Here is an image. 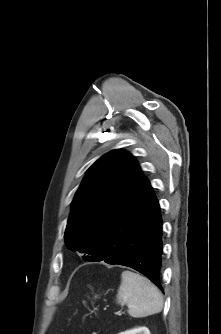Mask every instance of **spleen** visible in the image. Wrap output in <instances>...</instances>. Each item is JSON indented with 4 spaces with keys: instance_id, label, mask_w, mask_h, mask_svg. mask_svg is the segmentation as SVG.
<instances>
[{
    "instance_id": "1",
    "label": "spleen",
    "mask_w": 221,
    "mask_h": 334,
    "mask_svg": "<svg viewBox=\"0 0 221 334\" xmlns=\"http://www.w3.org/2000/svg\"><path fill=\"white\" fill-rule=\"evenodd\" d=\"M118 303L128 306L132 317H146L159 313L163 308V296L157 287L145 277L123 271L117 294Z\"/></svg>"
}]
</instances>
